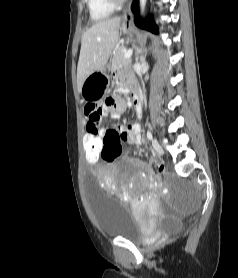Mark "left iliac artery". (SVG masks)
<instances>
[{
	"label": "left iliac artery",
	"instance_id": "left-iliac-artery-1",
	"mask_svg": "<svg viewBox=\"0 0 238 278\" xmlns=\"http://www.w3.org/2000/svg\"><path fill=\"white\" fill-rule=\"evenodd\" d=\"M147 138L149 139V140H152V138H153V136H152V133H151V131H147Z\"/></svg>",
	"mask_w": 238,
	"mask_h": 278
}]
</instances>
